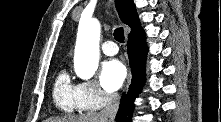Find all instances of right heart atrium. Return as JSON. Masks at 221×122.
<instances>
[{"mask_svg":"<svg viewBox=\"0 0 221 122\" xmlns=\"http://www.w3.org/2000/svg\"><path fill=\"white\" fill-rule=\"evenodd\" d=\"M79 103L83 110H97L115 101L116 96L103 90L95 81H85L77 86Z\"/></svg>","mask_w":221,"mask_h":122,"instance_id":"obj_1","label":"right heart atrium"}]
</instances>
